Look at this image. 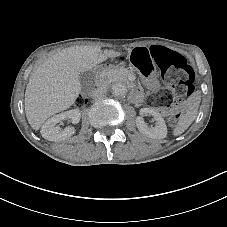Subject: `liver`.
<instances>
[{"label": "liver", "mask_w": 227, "mask_h": 227, "mask_svg": "<svg viewBox=\"0 0 227 227\" xmlns=\"http://www.w3.org/2000/svg\"><path fill=\"white\" fill-rule=\"evenodd\" d=\"M111 54L97 46H76L36 65L25 91V112L30 126L39 130L50 116L72 106L81 89L79 74Z\"/></svg>", "instance_id": "1"}]
</instances>
